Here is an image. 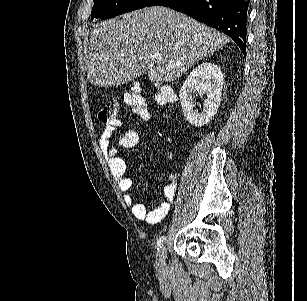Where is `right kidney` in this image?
<instances>
[{
  "instance_id": "obj_1",
  "label": "right kidney",
  "mask_w": 307,
  "mask_h": 301,
  "mask_svg": "<svg viewBox=\"0 0 307 301\" xmlns=\"http://www.w3.org/2000/svg\"><path fill=\"white\" fill-rule=\"evenodd\" d=\"M223 74L220 66L214 62H202L188 74L180 88L179 98L184 116L193 126H204L215 116L222 98ZM206 92L203 110H195L196 94Z\"/></svg>"
}]
</instances>
